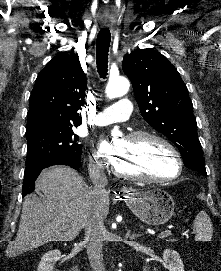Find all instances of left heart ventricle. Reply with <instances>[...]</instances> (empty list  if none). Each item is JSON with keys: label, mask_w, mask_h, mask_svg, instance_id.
I'll return each mask as SVG.
<instances>
[{"label": "left heart ventricle", "mask_w": 221, "mask_h": 271, "mask_svg": "<svg viewBox=\"0 0 221 271\" xmlns=\"http://www.w3.org/2000/svg\"><path fill=\"white\" fill-rule=\"evenodd\" d=\"M156 138L148 137L134 141L137 156H120L113 161L118 175H147L148 177H177L176 166H172L174 153L170 147L157 144Z\"/></svg>", "instance_id": "b2bd125f"}]
</instances>
